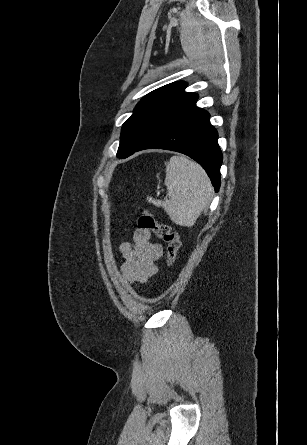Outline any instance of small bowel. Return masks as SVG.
Wrapping results in <instances>:
<instances>
[{
  "label": "small bowel",
  "mask_w": 307,
  "mask_h": 445,
  "mask_svg": "<svg viewBox=\"0 0 307 445\" xmlns=\"http://www.w3.org/2000/svg\"><path fill=\"white\" fill-rule=\"evenodd\" d=\"M120 252L124 257L120 270L125 281L143 284L157 274L163 247L152 240L150 231L138 227L133 240L120 245Z\"/></svg>",
  "instance_id": "1"
}]
</instances>
